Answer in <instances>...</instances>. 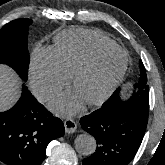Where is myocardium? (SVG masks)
Wrapping results in <instances>:
<instances>
[{
	"label": "myocardium",
	"mask_w": 165,
	"mask_h": 165,
	"mask_svg": "<svg viewBox=\"0 0 165 165\" xmlns=\"http://www.w3.org/2000/svg\"><path fill=\"white\" fill-rule=\"evenodd\" d=\"M109 53L121 54L123 56L122 66L116 72V74L109 80V82L106 84V86L104 87V89L101 91V93L98 96L85 101V103L89 106L102 104L115 91L117 86L122 81L128 68L127 53L122 48L118 47L117 45L111 46V47L97 48L94 51H92L82 62H80L71 73V83L75 87L80 75L86 72L88 69H90L101 56L105 54H109Z\"/></svg>",
	"instance_id": "myocardium-1"
}]
</instances>
